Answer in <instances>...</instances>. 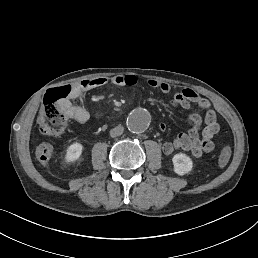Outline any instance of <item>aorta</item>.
<instances>
[{
    "label": "aorta",
    "mask_w": 258,
    "mask_h": 258,
    "mask_svg": "<svg viewBox=\"0 0 258 258\" xmlns=\"http://www.w3.org/2000/svg\"><path fill=\"white\" fill-rule=\"evenodd\" d=\"M151 122L150 113L142 108L134 110L127 118V127L132 133L144 132Z\"/></svg>",
    "instance_id": "1"
}]
</instances>
